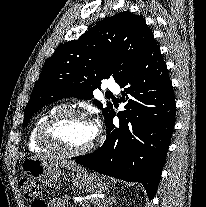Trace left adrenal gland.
<instances>
[{"label":"left adrenal gland","mask_w":206,"mask_h":207,"mask_svg":"<svg viewBox=\"0 0 206 207\" xmlns=\"http://www.w3.org/2000/svg\"><path fill=\"white\" fill-rule=\"evenodd\" d=\"M113 202H115V198L109 197L99 202L98 207H108L109 205H112Z\"/></svg>","instance_id":"obj_1"}]
</instances>
